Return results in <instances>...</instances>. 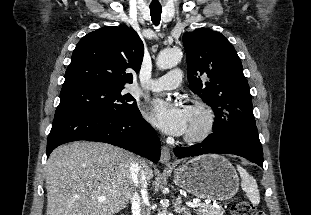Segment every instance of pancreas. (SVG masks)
<instances>
[{"mask_svg": "<svg viewBox=\"0 0 311 215\" xmlns=\"http://www.w3.org/2000/svg\"><path fill=\"white\" fill-rule=\"evenodd\" d=\"M199 207L195 210L198 215H223L225 210L222 207H214L211 204L198 203Z\"/></svg>", "mask_w": 311, "mask_h": 215, "instance_id": "1", "label": "pancreas"}]
</instances>
